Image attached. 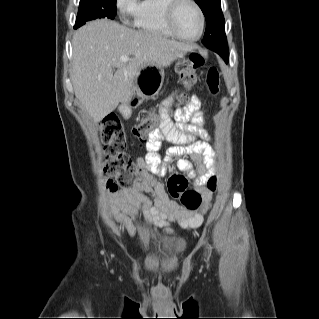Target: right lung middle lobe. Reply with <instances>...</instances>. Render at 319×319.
<instances>
[{
  "mask_svg": "<svg viewBox=\"0 0 319 319\" xmlns=\"http://www.w3.org/2000/svg\"><path fill=\"white\" fill-rule=\"evenodd\" d=\"M116 12V0H80L74 28L96 18L114 19Z\"/></svg>",
  "mask_w": 319,
  "mask_h": 319,
  "instance_id": "1",
  "label": "right lung middle lobe"
}]
</instances>
